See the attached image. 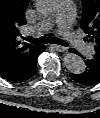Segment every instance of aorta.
Wrapping results in <instances>:
<instances>
[{"instance_id":"aorta-1","label":"aorta","mask_w":100,"mask_h":118,"mask_svg":"<svg viewBox=\"0 0 100 118\" xmlns=\"http://www.w3.org/2000/svg\"><path fill=\"white\" fill-rule=\"evenodd\" d=\"M59 5V0H37V9L43 14L53 13ZM65 67L74 74H80L85 71V64L81 57L73 53L64 55Z\"/></svg>"}]
</instances>
